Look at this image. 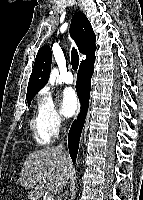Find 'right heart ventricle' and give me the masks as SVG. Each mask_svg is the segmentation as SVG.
<instances>
[{
    "label": "right heart ventricle",
    "mask_w": 143,
    "mask_h": 200,
    "mask_svg": "<svg viewBox=\"0 0 143 200\" xmlns=\"http://www.w3.org/2000/svg\"><path fill=\"white\" fill-rule=\"evenodd\" d=\"M30 127L33 132L34 138L41 145H47L51 141V137L46 133L40 112H38L33 116L30 121Z\"/></svg>",
    "instance_id": "e07e8e85"
}]
</instances>
